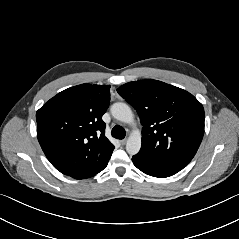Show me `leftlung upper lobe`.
Instances as JSON below:
<instances>
[{
    "label": "left lung upper lobe",
    "mask_w": 239,
    "mask_h": 239,
    "mask_svg": "<svg viewBox=\"0 0 239 239\" xmlns=\"http://www.w3.org/2000/svg\"><path fill=\"white\" fill-rule=\"evenodd\" d=\"M117 92L135 108L143 126L137 155L183 169L204 135L202 104L189 92L153 79L126 83Z\"/></svg>",
    "instance_id": "left-lung-upper-lobe-1"
}]
</instances>
